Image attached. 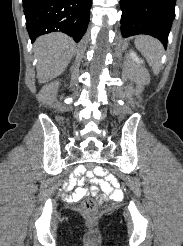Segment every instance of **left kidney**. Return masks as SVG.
I'll use <instances>...</instances> for the list:
<instances>
[{
    "mask_svg": "<svg viewBox=\"0 0 183 246\" xmlns=\"http://www.w3.org/2000/svg\"><path fill=\"white\" fill-rule=\"evenodd\" d=\"M130 56H131V58H132L135 62H137L138 64H139V63H143V60L140 59V58L136 55L135 52L131 51V52H130Z\"/></svg>",
    "mask_w": 183,
    "mask_h": 246,
    "instance_id": "5707ae66",
    "label": "left kidney"
}]
</instances>
